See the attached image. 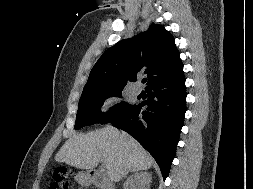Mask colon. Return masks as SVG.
<instances>
[{
    "instance_id": "obj_1",
    "label": "colon",
    "mask_w": 253,
    "mask_h": 189,
    "mask_svg": "<svg viewBox=\"0 0 253 189\" xmlns=\"http://www.w3.org/2000/svg\"><path fill=\"white\" fill-rule=\"evenodd\" d=\"M51 189H72L67 168L60 167L55 171Z\"/></svg>"
}]
</instances>
